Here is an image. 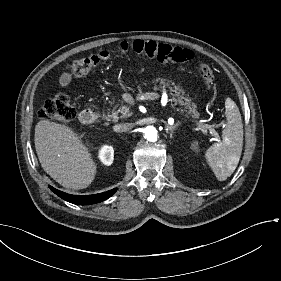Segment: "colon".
I'll return each mask as SVG.
<instances>
[{"label": "colon", "mask_w": 281, "mask_h": 281, "mask_svg": "<svg viewBox=\"0 0 281 281\" xmlns=\"http://www.w3.org/2000/svg\"><path fill=\"white\" fill-rule=\"evenodd\" d=\"M131 54L147 56L162 63H182L194 60L189 50L173 47L166 43L140 40L123 42L115 49L78 58L70 63L68 70L73 77L87 76L97 70L103 62L110 61L119 56ZM196 66L199 68L206 82L213 85L215 76L212 69L208 65L200 62H197ZM75 115L76 110L72 100L69 94L65 92H59L54 97L46 100L39 112V116L42 120L57 121L63 124L71 122Z\"/></svg>", "instance_id": "colon-1"}]
</instances>
